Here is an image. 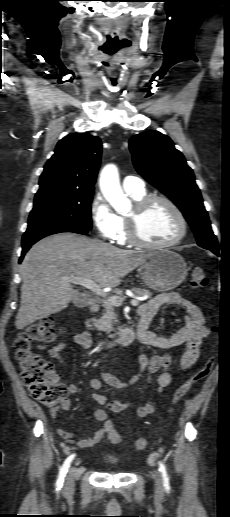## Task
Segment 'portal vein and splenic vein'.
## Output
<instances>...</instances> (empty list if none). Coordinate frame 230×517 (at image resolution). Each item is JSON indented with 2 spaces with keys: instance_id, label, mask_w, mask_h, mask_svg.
Returning <instances> with one entry per match:
<instances>
[{
  "instance_id": "obj_1",
  "label": "portal vein and splenic vein",
  "mask_w": 230,
  "mask_h": 517,
  "mask_svg": "<svg viewBox=\"0 0 230 517\" xmlns=\"http://www.w3.org/2000/svg\"><path fill=\"white\" fill-rule=\"evenodd\" d=\"M65 280H67L73 284L82 285L83 287L89 289L96 295H99L101 297H106L107 301L112 303L114 306H120L122 304V302L124 301V298H120L116 295L108 296V294L105 293L98 284H96L94 281H92L89 278L69 277V278H66ZM130 303L134 306H137L139 304V301H138V299H133L130 301Z\"/></svg>"
}]
</instances>
